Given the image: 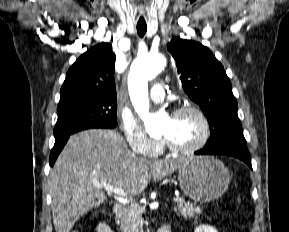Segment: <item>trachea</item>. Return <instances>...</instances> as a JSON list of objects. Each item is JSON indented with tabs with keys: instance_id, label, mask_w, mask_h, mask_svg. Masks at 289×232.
<instances>
[{
	"instance_id": "obj_1",
	"label": "trachea",
	"mask_w": 289,
	"mask_h": 232,
	"mask_svg": "<svg viewBox=\"0 0 289 232\" xmlns=\"http://www.w3.org/2000/svg\"><path fill=\"white\" fill-rule=\"evenodd\" d=\"M147 31L146 24H137V32L140 37H143Z\"/></svg>"
}]
</instances>
